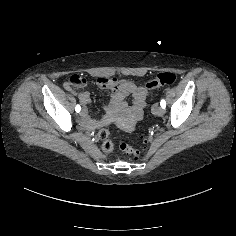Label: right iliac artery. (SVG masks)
Here are the masks:
<instances>
[{"label":"right iliac artery","instance_id":"right-iliac-artery-1","mask_svg":"<svg viewBox=\"0 0 236 236\" xmlns=\"http://www.w3.org/2000/svg\"><path fill=\"white\" fill-rule=\"evenodd\" d=\"M80 110H81V107H80V105H76V107H75V111H76L77 113H79V112H80Z\"/></svg>","mask_w":236,"mask_h":236}]
</instances>
